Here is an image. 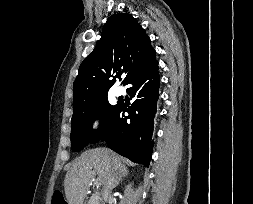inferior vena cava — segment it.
<instances>
[{"instance_id": "1", "label": "inferior vena cava", "mask_w": 253, "mask_h": 204, "mask_svg": "<svg viewBox=\"0 0 253 204\" xmlns=\"http://www.w3.org/2000/svg\"><path fill=\"white\" fill-rule=\"evenodd\" d=\"M117 173L111 172L107 178L106 181L104 183V187H103V197L104 199H107L111 192L112 189L115 187V183L117 181Z\"/></svg>"}]
</instances>
